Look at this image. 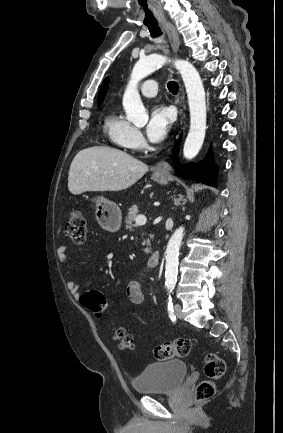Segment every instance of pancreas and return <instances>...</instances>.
Here are the masks:
<instances>
[{
    "mask_svg": "<svg viewBox=\"0 0 283 433\" xmlns=\"http://www.w3.org/2000/svg\"><path fill=\"white\" fill-rule=\"evenodd\" d=\"M129 212L127 214V217L125 219V223L128 227V229H130V231H133V227H136V225H133L134 221H136V217L137 214L139 212V208L137 206V204H133V206H130V208H128ZM151 239H153V237H151ZM145 243H147V245H150V241L149 239H147V241H145ZM144 253H151V249L150 247H146V249H144Z\"/></svg>",
    "mask_w": 283,
    "mask_h": 433,
    "instance_id": "1",
    "label": "pancreas"
}]
</instances>
